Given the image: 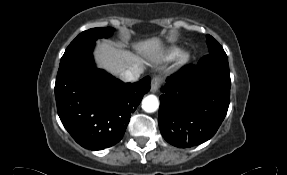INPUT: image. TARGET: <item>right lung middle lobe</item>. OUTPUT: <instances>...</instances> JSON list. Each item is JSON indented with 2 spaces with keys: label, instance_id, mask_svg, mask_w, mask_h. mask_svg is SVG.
Instances as JSON below:
<instances>
[{
  "label": "right lung middle lobe",
  "instance_id": "obj_1",
  "mask_svg": "<svg viewBox=\"0 0 287 175\" xmlns=\"http://www.w3.org/2000/svg\"><path fill=\"white\" fill-rule=\"evenodd\" d=\"M113 28H93L80 33L67 47L63 56L83 47L86 44L95 42L98 38L108 37L112 34Z\"/></svg>",
  "mask_w": 287,
  "mask_h": 175
}]
</instances>
